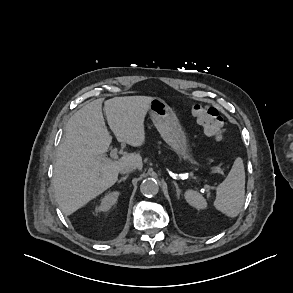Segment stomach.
I'll return each mask as SVG.
<instances>
[{
	"mask_svg": "<svg viewBox=\"0 0 293 293\" xmlns=\"http://www.w3.org/2000/svg\"><path fill=\"white\" fill-rule=\"evenodd\" d=\"M149 112L164 141L185 162L194 164L185 132L173 110L160 98H153Z\"/></svg>",
	"mask_w": 293,
	"mask_h": 293,
	"instance_id": "obj_1",
	"label": "stomach"
}]
</instances>
